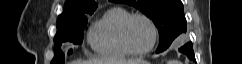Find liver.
Returning <instances> with one entry per match:
<instances>
[{"instance_id": "obj_1", "label": "liver", "mask_w": 242, "mask_h": 64, "mask_svg": "<svg viewBox=\"0 0 242 64\" xmlns=\"http://www.w3.org/2000/svg\"><path fill=\"white\" fill-rule=\"evenodd\" d=\"M143 61L140 59H131V60H124V59H91L88 61H73L71 64H140Z\"/></svg>"}]
</instances>
